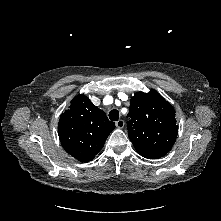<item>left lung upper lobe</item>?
Here are the masks:
<instances>
[{"label":"left lung upper lobe","instance_id":"left-lung-upper-lobe-1","mask_svg":"<svg viewBox=\"0 0 221 221\" xmlns=\"http://www.w3.org/2000/svg\"><path fill=\"white\" fill-rule=\"evenodd\" d=\"M128 117V136L141 156L158 159L170 151L178 134L175 110L157 91L137 92Z\"/></svg>","mask_w":221,"mask_h":221}]
</instances>
